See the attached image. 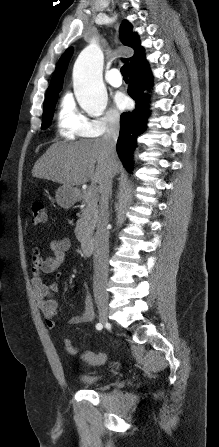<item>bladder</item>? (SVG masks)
Instances as JSON below:
<instances>
[{
	"label": "bladder",
	"mask_w": 219,
	"mask_h": 447,
	"mask_svg": "<svg viewBox=\"0 0 219 447\" xmlns=\"http://www.w3.org/2000/svg\"><path fill=\"white\" fill-rule=\"evenodd\" d=\"M104 374L97 373H79L77 375L78 381L84 386H93L105 379Z\"/></svg>",
	"instance_id": "1"
}]
</instances>
